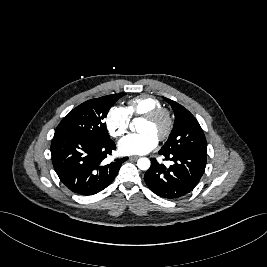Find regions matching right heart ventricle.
I'll return each mask as SVG.
<instances>
[{
    "mask_svg": "<svg viewBox=\"0 0 267 267\" xmlns=\"http://www.w3.org/2000/svg\"><path fill=\"white\" fill-rule=\"evenodd\" d=\"M159 107H162L159 99L150 95H140L127 102L126 111L130 117H139Z\"/></svg>",
    "mask_w": 267,
    "mask_h": 267,
    "instance_id": "obj_1",
    "label": "right heart ventricle"
}]
</instances>
